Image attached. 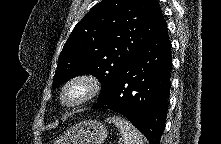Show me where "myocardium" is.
<instances>
[{
	"instance_id": "f54148a6",
	"label": "myocardium",
	"mask_w": 221,
	"mask_h": 144,
	"mask_svg": "<svg viewBox=\"0 0 221 144\" xmlns=\"http://www.w3.org/2000/svg\"><path fill=\"white\" fill-rule=\"evenodd\" d=\"M76 87H80V95L69 100L68 92ZM101 91L100 80L91 73H80L69 78L61 87L59 94L60 105L66 109H73L82 106L98 96Z\"/></svg>"
}]
</instances>
